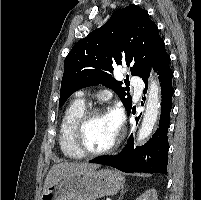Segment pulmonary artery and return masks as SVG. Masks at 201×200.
I'll use <instances>...</instances> for the list:
<instances>
[{
    "label": "pulmonary artery",
    "instance_id": "1",
    "mask_svg": "<svg viewBox=\"0 0 201 200\" xmlns=\"http://www.w3.org/2000/svg\"><path fill=\"white\" fill-rule=\"evenodd\" d=\"M131 82L136 88H141L143 86L141 78L137 75L132 76ZM137 94L139 95V92ZM78 96L80 97L83 96V93L82 92L78 93Z\"/></svg>",
    "mask_w": 201,
    "mask_h": 200
}]
</instances>
